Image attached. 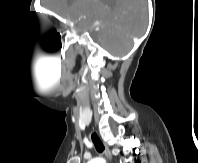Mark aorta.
<instances>
[{
  "instance_id": "762f6f07",
  "label": "aorta",
  "mask_w": 198,
  "mask_h": 163,
  "mask_svg": "<svg viewBox=\"0 0 198 163\" xmlns=\"http://www.w3.org/2000/svg\"><path fill=\"white\" fill-rule=\"evenodd\" d=\"M88 163H106V161L103 158L97 157V158H93Z\"/></svg>"
}]
</instances>
